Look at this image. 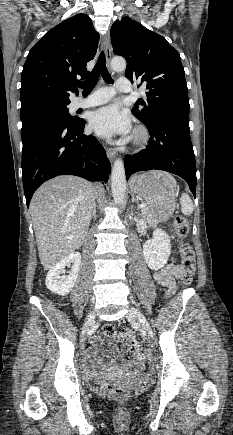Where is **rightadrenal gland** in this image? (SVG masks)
I'll use <instances>...</instances> for the list:
<instances>
[{"label":"right adrenal gland","instance_id":"2a0ac1e0","mask_svg":"<svg viewBox=\"0 0 233 435\" xmlns=\"http://www.w3.org/2000/svg\"><path fill=\"white\" fill-rule=\"evenodd\" d=\"M95 218L96 217V205L94 206V209H93V213H92V216H91V218Z\"/></svg>","mask_w":233,"mask_h":435}]
</instances>
